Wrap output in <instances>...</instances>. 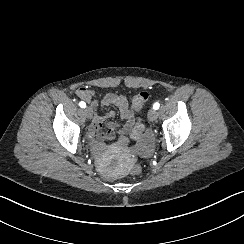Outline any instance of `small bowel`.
Segmentation results:
<instances>
[{"instance_id":"obj_1","label":"small bowel","mask_w":244,"mask_h":244,"mask_svg":"<svg viewBox=\"0 0 244 244\" xmlns=\"http://www.w3.org/2000/svg\"><path fill=\"white\" fill-rule=\"evenodd\" d=\"M77 96L83 101L90 104L91 110L94 113L93 122L91 125V132L98 141L111 140L115 135H128L130 130L135 125V117L129 106L127 98L123 95L115 93L105 94L100 101H96L95 94L88 88H79ZM115 105L119 108L120 117L123 121L122 125L113 121H108L106 127L107 131L102 132L101 127L103 122L110 120L115 116L114 111H109L103 115L97 113L98 106ZM154 133L151 130H146L143 133L142 139L139 141V151L143 156H148L151 153L152 140Z\"/></svg>"}]
</instances>
